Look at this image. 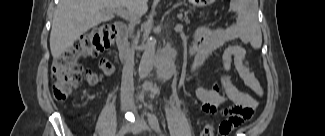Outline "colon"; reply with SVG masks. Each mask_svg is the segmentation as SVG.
I'll list each match as a JSON object with an SVG mask.
<instances>
[{"instance_id": "1", "label": "colon", "mask_w": 325, "mask_h": 136, "mask_svg": "<svg viewBox=\"0 0 325 136\" xmlns=\"http://www.w3.org/2000/svg\"><path fill=\"white\" fill-rule=\"evenodd\" d=\"M116 28L102 26L83 34L52 64L53 93L57 100L66 99L82 80L84 70L80 59L107 49L114 40ZM200 136H214V126L205 125Z\"/></svg>"}]
</instances>
